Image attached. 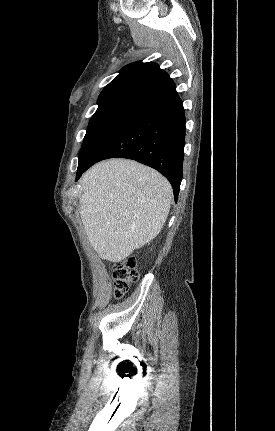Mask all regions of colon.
Wrapping results in <instances>:
<instances>
[{
  "instance_id": "obj_1",
  "label": "colon",
  "mask_w": 275,
  "mask_h": 431,
  "mask_svg": "<svg viewBox=\"0 0 275 431\" xmlns=\"http://www.w3.org/2000/svg\"><path fill=\"white\" fill-rule=\"evenodd\" d=\"M113 278L114 296L119 299L128 292L130 285L138 278L135 258L130 256L116 263L113 266Z\"/></svg>"
}]
</instances>
